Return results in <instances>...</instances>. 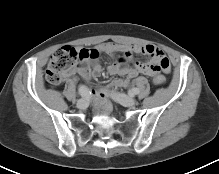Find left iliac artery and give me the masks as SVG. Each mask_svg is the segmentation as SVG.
Instances as JSON below:
<instances>
[{"mask_svg":"<svg viewBox=\"0 0 219 174\" xmlns=\"http://www.w3.org/2000/svg\"><path fill=\"white\" fill-rule=\"evenodd\" d=\"M138 93H139V89H137V88H133L130 90L131 95H137Z\"/></svg>","mask_w":219,"mask_h":174,"instance_id":"left-iliac-artery-1","label":"left iliac artery"}]
</instances>
